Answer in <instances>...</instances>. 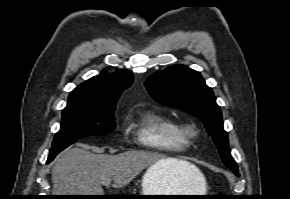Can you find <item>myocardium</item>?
Returning <instances> with one entry per match:
<instances>
[{"label": "myocardium", "instance_id": "myocardium-1", "mask_svg": "<svg viewBox=\"0 0 290 199\" xmlns=\"http://www.w3.org/2000/svg\"><path fill=\"white\" fill-rule=\"evenodd\" d=\"M179 131L189 140L198 135V128L194 124L178 125Z\"/></svg>", "mask_w": 290, "mask_h": 199}]
</instances>
